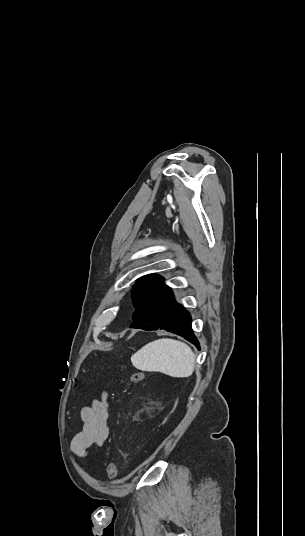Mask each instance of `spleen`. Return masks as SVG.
<instances>
[{"label":"spleen","instance_id":"obj_1","mask_svg":"<svg viewBox=\"0 0 305 536\" xmlns=\"http://www.w3.org/2000/svg\"><path fill=\"white\" fill-rule=\"evenodd\" d=\"M134 368L142 372H162L172 378H188L194 372L195 354L178 340H155L131 356Z\"/></svg>","mask_w":305,"mask_h":536}]
</instances>
